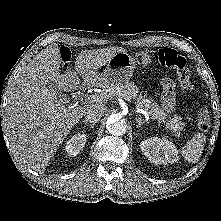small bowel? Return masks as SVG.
<instances>
[{
	"label": "small bowel",
	"instance_id": "obj_1",
	"mask_svg": "<svg viewBox=\"0 0 221 221\" xmlns=\"http://www.w3.org/2000/svg\"><path fill=\"white\" fill-rule=\"evenodd\" d=\"M175 103V94L174 91L163 92L161 97V104L163 109L166 111H172Z\"/></svg>",
	"mask_w": 221,
	"mask_h": 221
}]
</instances>
